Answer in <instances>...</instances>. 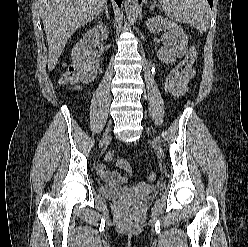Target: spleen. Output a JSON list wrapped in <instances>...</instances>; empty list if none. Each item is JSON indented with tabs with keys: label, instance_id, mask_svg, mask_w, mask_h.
Masks as SVG:
<instances>
[{
	"label": "spleen",
	"instance_id": "1",
	"mask_svg": "<svg viewBox=\"0 0 248 247\" xmlns=\"http://www.w3.org/2000/svg\"><path fill=\"white\" fill-rule=\"evenodd\" d=\"M160 3L168 18L190 24L200 33L208 29L210 9L207 0H160Z\"/></svg>",
	"mask_w": 248,
	"mask_h": 247
}]
</instances>
